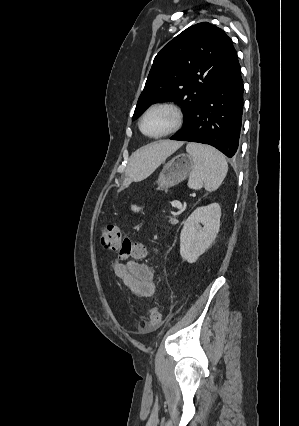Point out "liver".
I'll use <instances>...</instances> for the list:
<instances>
[{
    "label": "liver",
    "mask_w": 299,
    "mask_h": 426,
    "mask_svg": "<svg viewBox=\"0 0 299 426\" xmlns=\"http://www.w3.org/2000/svg\"><path fill=\"white\" fill-rule=\"evenodd\" d=\"M182 145L179 141L164 140L141 147L131 156L130 175L133 178L148 176Z\"/></svg>",
    "instance_id": "1"
}]
</instances>
